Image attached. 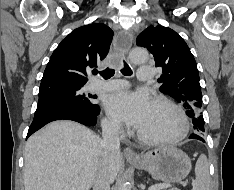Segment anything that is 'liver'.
Masks as SVG:
<instances>
[{
	"mask_svg": "<svg viewBox=\"0 0 234 190\" xmlns=\"http://www.w3.org/2000/svg\"><path fill=\"white\" fill-rule=\"evenodd\" d=\"M101 139L72 121H54L33 134L24 154L25 190H90L103 163ZM122 164L120 152L110 154L111 183Z\"/></svg>",
	"mask_w": 234,
	"mask_h": 190,
	"instance_id": "obj_1",
	"label": "liver"
}]
</instances>
